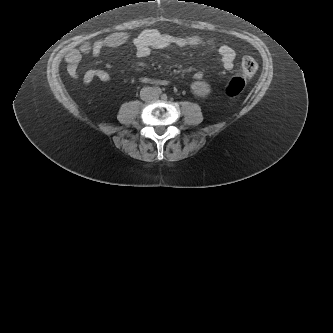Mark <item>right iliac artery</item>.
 <instances>
[{
	"label": "right iliac artery",
	"mask_w": 333,
	"mask_h": 333,
	"mask_svg": "<svg viewBox=\"0 0 333 333\" xmlns=\"http://www.w3.org/2000/svg\"><path fill=\"white\" fill-rule=\"evenodd\" d=\"M150 89L154 93H161V89L159 87L153 86Z\"/></svg>",
	"instance_id": "right-iliac-artery-1"
}]
</instances>
